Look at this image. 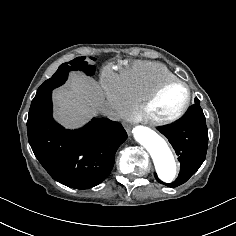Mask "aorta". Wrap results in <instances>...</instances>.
Listing matches in <instances>:
<instances>
[{"mask_svg":"<svg viewBox=\"0 0 236 236\" xmlns=\"http://www.w3.org/2000/svg\"><path fill=\"white\" fill-rule=\"evenodd\" d=\"M135 140L151 155L156 173L163 182H172L176 176V162L166 141L148 127L136 126L133 129Z\"/></svg>","mask_w":236,"mask_h":236,"instance_id":"762f6f07","label":"aorta"}]
</instances>
